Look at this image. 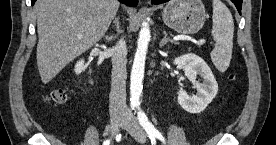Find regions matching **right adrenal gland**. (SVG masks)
<instances>
[{"mask_svg":"<svg viewBox=\"0 0 276 145\" xmlns=\"http://www.w3.org/2000/svg\"><path fill=\"white\" fill-rule=\"evenodd\" d=\"M116 29H117V32L119 33V26H118V24H116ZM115 38H116V36H105V39L107 41H112Z\"/></svg>","mask_w":276,"mask_h":145,"instance_id":"1","label":"right adrenal gland"}]
</instances>
